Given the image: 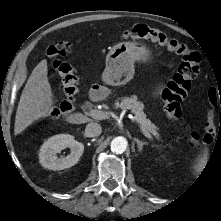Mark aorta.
<instances>
[{
  "instance_id": "aorta-1",
  "label": "aorta",
  "mask_w": 221,
  "mask_h": 221,
  "mask_svg": "<svg viewBox=\"0 0 221 221\" xmlns=\"http://www.w3.org/2000/svg\"><path fill=\"white\" fill-rule=\"evenodd\" d=\"M127 148V140L124 137H116L111 141V150L114 153L121 154Z\"/></svg>"
}]
</instances>
